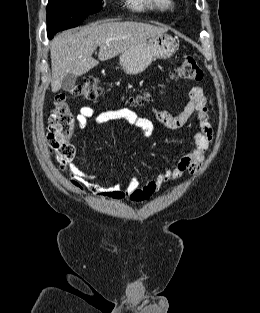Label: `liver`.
Returning a JSON list of instances; mask_svg holds the SVG:
<instances>
[{"label":"liver","instance_id":"6515ba94","mask_svg":"<svg viewBox=\"0 0 260 313\" xmlns=\"http://www.w3.org/2000/svg\"><path fill=\"white\" fill-rule=\"evenodd\" d=\"M166 31V27L125 21L95 22L58 34L50 43L52 92L60 90L67 74L81 76L97 66L99 61L92 57L97 47L98 59L106 61L137 43Z\"/></svg>","mask_w":260,"mask_h":313}]
</instances>
